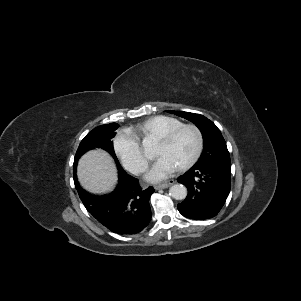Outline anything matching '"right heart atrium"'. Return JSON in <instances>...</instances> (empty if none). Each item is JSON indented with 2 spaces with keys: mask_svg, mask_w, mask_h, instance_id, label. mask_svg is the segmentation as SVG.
Returning <instances> with one entry per match:
<instances>
[{
  "mask_svg": "<svg viewBox=\"0 0 301 301\" xmlns=\"http://www.w3.org/2000/svg\"><path fill=\"white\" fill-rule=\"evenodd\" d=\"M114 149L123 166L133 173H141L148 161L139 139L129 130H122L114 138Z\"/></svg>",
  "mask_w": 301,
  "mask_h": 301,
  "instance_id": "d8ad5b80",
  "label": "right heart atrium"
}]
</instances>
